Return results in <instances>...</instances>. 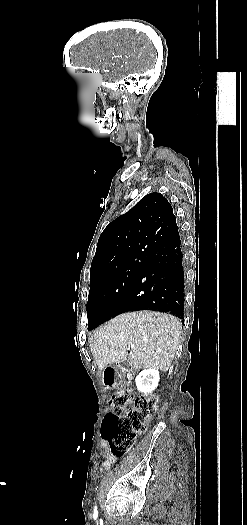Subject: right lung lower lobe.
Listing matches in <instances>:
<instances>
[{
  "label": "right lung lower lobe",
  "mask_w": 247,
  "mask_h": 525,
  "mask_svg": "<svg viewBox=\"0 0 247 525\" xmlns=\"http://www.w3.org/2000/svg\"><path fill=\"white\" fill-rule=\"evenodd\" d=\"M182 258L178 231L145 257L142 272L119 304L115 316L135 310H154L183 318Z\"/></svg>",
  "instance_id": "obj_1"
}]
</instances>
